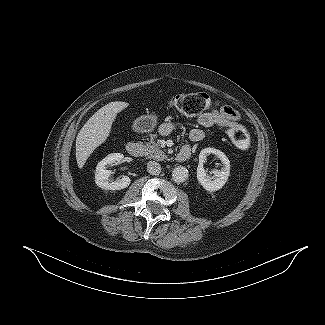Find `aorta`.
<instances>
[{"label": "aorta", "mask_w": 325, "mask_h": 325, "mask_svg": "<svg viewBox=\"0 0 325 325\" xmlns=\"http://www.w3.org/2000/svg\"><path fill=\"white\" fill-rule=\"evenodd\" d=\"M171 175L175 182L182 183L188 178V170L183 166H178L173 169Z\"/></svg>", "instance_id": "762f6f07"}]
</instances>
